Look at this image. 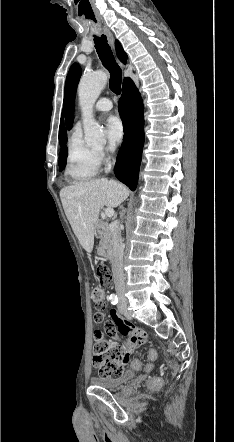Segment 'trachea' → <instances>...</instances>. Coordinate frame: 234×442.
Segmentation results:
<instances>
[{"label": "trachea", "instance_id": "3493384b", "mask_svg": "<svg viewBox=\"0 0 234 442\" xmlns=\"http://www.w3.org/2000/svg\"><path fill=\"white\" fill-rule=\"evenodd\" d=\"M95 48L103 66L110 73L109 86L110 89L117 95L121 93L122 71L116 63V60L112 54L111 47L107 42L105 35L94 38Z\"/></svg>", "mask_w": 234, "mask_h": 442}]
</instances>
